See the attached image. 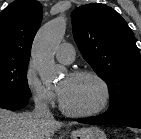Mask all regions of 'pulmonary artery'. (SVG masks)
Instances as JSON below:
<instances>
[{"label": "pulmonary artery", "mask_w": 141, "mask_h": 139, "mask_svg": "<svg viewBox=\"0 0 141 139\" xmlns=\"http://www.w3.org/2000/svg\"><path fill=\"white\" fill-rule=\"evenodd\" d=\"M56 58L65 64H70L75 58V50L69 43H62L56 50Z\"/></svg>", "instance_id": "obj_1"}]
</instances>
